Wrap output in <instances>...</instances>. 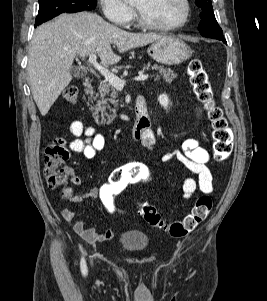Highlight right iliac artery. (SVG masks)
<instances>
[{"label": "right iliac artery", "mask_w": 267, "mask_h": 301, "mask_svg": "<svg viewBox=\"0 0 267 301\" xmlns=\"http://www.w3.org/2000/svg\"><path fill=\"white\" fill-rule=\"evenodd\" d=\"M80 268L83 276L87 275V266L84 257L81 258Z\"/></svg>", "instance_id": "obj_1"}]
</instances>
